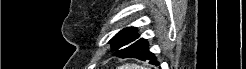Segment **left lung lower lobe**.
Wrapping results in <instances>:
<instances>
[{
    "label": "left lung lower lobe",
    "mask_w": 246,
    "mask_h": 69,
    "mask_svg": "<svg viewBox=\"0 0 246 69\" xmlns=\"http://www.w3.org/2000/svg\"><path fill=\"white\" fill-rule=\"evenodd\" d=\"M114 56H118L120 58H137L140 60H148L149 63L154 65H159V62L156 60V57L153 53H151L148 49V42L147 40L141 38L129 46L117 50L114 53Z\"/></svg>",
    "instance_id": "0a47b994"
}]
</instances>
